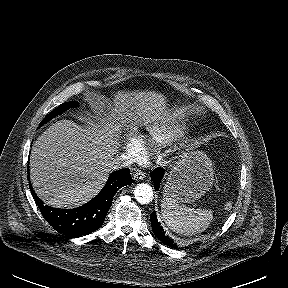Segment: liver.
<instances>
[{"mask_svg":"<svg viewBox=\"0 0 288 288\" xmlns=\"http://www.w3.org/2000/svg\"><path fill=\"white\" fill-rule=\"evenodd\" d=\"M107 103L104 99L93 101L99 116L88 118L86 126L61 120L34 142L30 178L45 204L73 208L90 201L112 171L109 164L117 151L120 127L143 123L155 128L172 117L164 96L155 91H118L113 105Z\"/></svg>","mask_w":288,"mask_h":288,"instance_id":"6515ba94","label":"liver"}]
</instances>
